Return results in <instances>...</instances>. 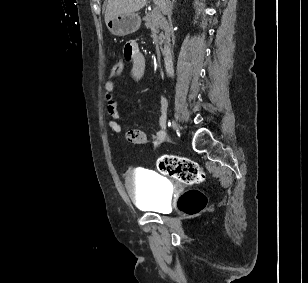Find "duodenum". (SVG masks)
I'll use <instances>...</instances> for the list:
<instances>
[{"instance_id":"410a0bca","label":"duodenum","mask_w":308,"mask_h":283,"mask_svg":"<svg viewBox=\"0 0 308 283\" xmlns=\"http://www.w3.org/2000/svg\"><path fill=\"white\" fill-rule=\"evenodd\" d=\"M163 65L167 73H171L173 71V57L170 52L164 54Z\"/></svg>"}]
</instances>
